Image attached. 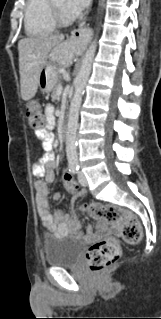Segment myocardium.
<instances>
[{"label":"myocardium","instance_id":"obj_1","mask_svg":"<svg viewBox=\"0 0 161 319\" xmlns=\"http://www.w3.org/2000/svg\"><path fill=\"white\" fill-rule=\"evenodd\" d=\"M50 11L55 23L58 26L65 27L72 25L75 22V18L72 16H66L55 4V0H50Z\"/></svg>","mask_w":161,"mask_h":319}]
</instances>
